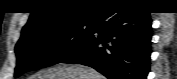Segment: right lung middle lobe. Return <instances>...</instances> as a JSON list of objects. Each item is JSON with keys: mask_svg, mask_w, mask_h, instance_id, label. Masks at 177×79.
Listing matches in <instances>:
<instances>
[{"mask_svg": "<svg viewBox=\"0 0 177 79\" xmlns=\"http://www.w3.org/2000/svg\"><path fill=\"white\" fill-rule=\"evenodd\" d=\"M91 30L92 21H73L44 27L21 37L15 47V77L31 69L60 63L87 40Z\"/></svg>", "mask_w": 177, "mask_h": 79, "instance_id": "1", "label": "right lung middle lobe"}]
</instances>
